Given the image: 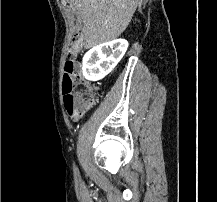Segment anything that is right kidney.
<instances>
[{
	"mask_svg": "<svg viewBox=\"0 0 217 202\" xmlns=\"http://www.w3.org/2000/svg\"><path fill=\"white\" fill-rule=\"evenodd\" d=\"M127 48V40H113L95 46L83 58V76L87 80H102L122 60Z\"/></svg>",
	"mask_w": 217,
	"mask_h": 202,
	"instance_id": "1",
	"label": "right kidney"
}]
</instances>
